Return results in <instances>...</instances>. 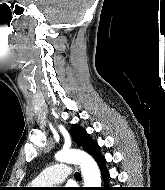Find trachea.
Returning a JSON list of instances; mask_svg holds the SVG:
<instances>
[{"label":"trachea","mask_w":165,"mask_h":190,"mask_svg":"<svg viewBox=\"0 0 165 190\" xmlns=\"http://www.w3.org/2000/svg\"><path fill=\"white\" fill-rule=\"evenodd\" d=\"M75 178H76V179H80V178H81V175H80L79 172H76V173H75Z\"/></svg>","instance_id":"1"}]
</instances>
